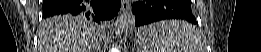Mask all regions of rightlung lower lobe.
<instances>
[{
    "mask_svg": "<svg viewBox=\"0 0 261 52\" xmlns=\"http://www.w3.org/2000/svg\"><path fill=\"white\" fill-rule=\"evenodd\" d=\"M120 6L121 0H43V17L81 15L103 23L112 19Z\"/></svg>",
    "mask_w": 261,
    "mask_h": 52,
    "instance_id": "obj_1",
    "label": "right lung lower lobe"
}]
</instances>
